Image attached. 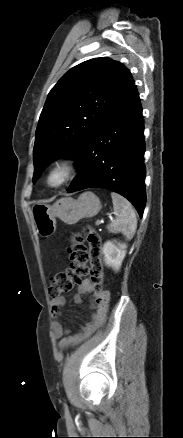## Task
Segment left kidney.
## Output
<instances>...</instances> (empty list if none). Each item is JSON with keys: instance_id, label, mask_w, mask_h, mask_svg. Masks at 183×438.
I'll use <instances>...</instances> for the list:
<instances>
[{"instance_id": "5707ae66", "label": "left kidney", "mask_w": 183, "mask_h": 438, "mask_svg": "<svg viewBox=\"0 0 183 438\" xmlns=\"http://www.w3.org/2000/svg\"><path fill=\"white\" fill-rule=\"evenodd\" d=\"M126 248L127 246L124 243L107 241L102 249L106 265L112 267L115 271H118L126 255Z\"/></svg>"}]
</instances>
